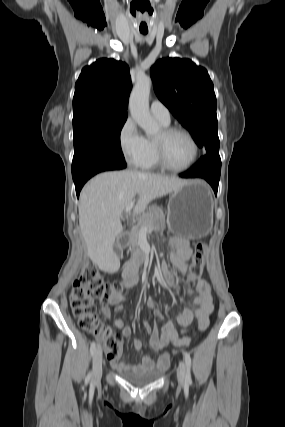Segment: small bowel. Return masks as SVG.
<instances>
[{
	"mask_svg": "<svg viewBox=\"0 0 285 427\" xmlns=\"http://www.w3.org/2000/svg\"><path fill=\"white\" fill-rule=\"evenodd\" d=\"M171 247L170 258L173 266L180 272L186 273L188 271V261L192 256V249L187 240L172 236L169 238ZM162 270L169 285L175 287L177 285L173 274L167 269L166 265H162ZM140 277V267L135 266L134 274L131 276V282H128L123 275V284L125 288L134 286ZM184 291L189 294H194V304L196 309L193 311L190 307H183L181 311L175 316V321L181 326H188L193 321L194 317L197 319L198 330L200 332L206 330L209 326L210 316L213 312L214 306L212 301L211 286L206 280H199L193 289L184 288ZM124 295L121 292L111 294L108 303L115 306L117 312H122ZM148 308H154L155 303L152 300L146 302ZM103 316L111 321L113 326L121 330V336L124 338H132V330L126 326L123 319H113L111 317L110 309L104 305L101 307ZM156 320L162 318V313L158 310L154 312ZM146 332L148 333V345L156 352L164 351L170 344L175 347L186 346L190 342V337L180 338L175 328L173 321H168L161 330L155 325L150 327L148 321L143 323ZM135 348L141 351L143 344L137 339H132ZM171 353L163 352L155 360L150 356L144 355L141 362L138 364L130 362H120L119 358L110 360L114 367L134 370L137 372H145L153 369L165 370L170 364Z\"/></svg>",
	"mask_w": 285,
	"mask_h": 427,
	"instance_id": "obj_1",
	"label": "small bowel"
}]
</instances>
